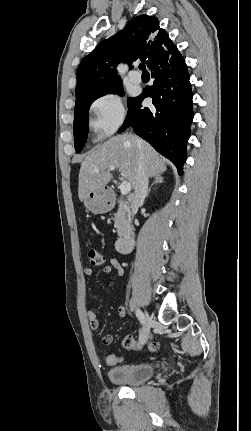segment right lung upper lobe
Listing matches in <instances>:
<instances>
[{"instance_id":"obj_1","label":"right lung upper lobe","mask_w":251,"mask_h":431,"mask_svg":"<svg viewBox=\"0 0 251 431\" xmlns=\"http://www.w3.org/2000/svg\"><path fill=\"white\" fill-rule=\"evenodd\" d=\"M175 47L154 16L140 15L116 35L102 41L80 63L77 71L76 97L117 83L121 78L116 66L140 59L149 68L167 60Z\"/></svg>"}]
</instances>
